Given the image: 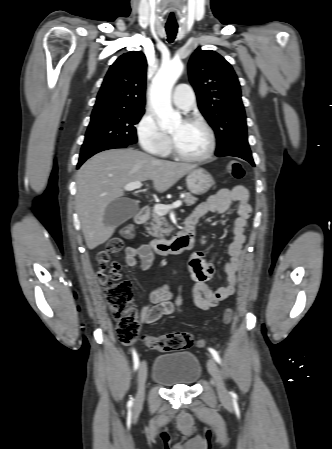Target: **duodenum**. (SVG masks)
Instances as JSON below:
<instances>
[{
    "mask_svg": "<svg viewBox=\"0 0 332 449\" xmlns=\"http://www.w3.org/2000/svg\"><path fill=\"white\" fill-rule=\"evenodd\" d=\"M149 215L148 207H141L134 217L137 225L144 224ZM195 225L187 218L183 223V228L170 239H155L151 241V246L159 255L176 254L188 250L194 242Z\"/></svg>",
    "mask_w": 332,
    "mask_h": 449,
    "instance_id": "duodenum-1",
    "label": "duodenum"
}]
</instances>
